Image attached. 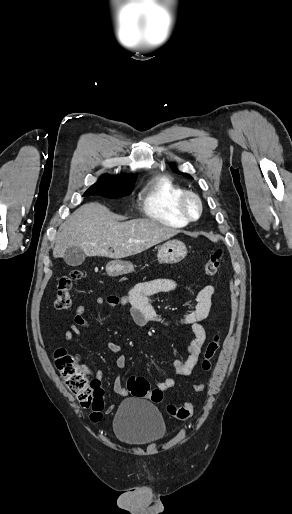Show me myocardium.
<instances>
[{
  "label": "myocardium",
  "instance_id": "myocardium-1",
  "mask_svg": "<svg viewBox=\"0 0 292 514\" xmlns=\"http://www.w3.org/2000/svg\"><path fill=\"white\" fill-rule=\"evenodd\" d=\"M189 201L194 202L196 206V214L192 215L187 210V203ZM175 209L178 214H180L183 218H185L187 221H196L200 218L202 214V202L199 196L188 190H184L181 193H179L175 198Z\"/></svg>",
  "mask_w": 292,
  "mask_h": 514
}]
</instances>
